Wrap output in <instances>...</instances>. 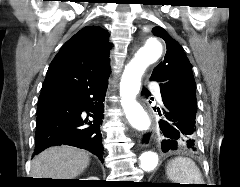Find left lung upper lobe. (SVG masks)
<instances>
[{
    "label": "left lung upper lobe",
    "mask_w": 240,
    "mask_h": 187,
    "mask_svg": "<svg viewBox=\"0 0 240 187\" xmlns=\"http://www.w3.org/2000/svg\"><path fill=\"white\" fill-rule=\"evenodd\" d=\"M152 32L164 39L167 51L164 60L153 69L150 80L160 83L161 93L197 108L196 83L183 48L162 27L156 26Z\"/></svg>",
    "instance_id": "5c2ea615"
}]
</instances>
